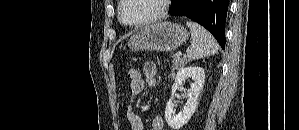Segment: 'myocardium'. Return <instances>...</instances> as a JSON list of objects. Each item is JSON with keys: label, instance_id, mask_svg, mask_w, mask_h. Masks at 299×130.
I'll list each match as a JSON object with an SVG mask.
<instances>
[{"label": "myocardium", "instance_id": "obj_1", "mask_svg": "<svg viewBox=\"0 0 299 130\" xmlns=\"http://www.w3.org/2000/svg\"><path fill=\"white\" fill-rule=\"evenodd\" d=\"M131 0H121L118 6V19L120 21L121 24L125 25V26H129V27H141V26H145L154 22L159 21L160 19H162L168 9H169V5H170V0H158L159 1V10L153 14L152 16L139 20L137 22H133V23H128L126 21L123 20V16H122V12H123V8L124 6L129 3Z\"/></svg>", "mask_w": 299, "mask_h": 130}]
</instances>
